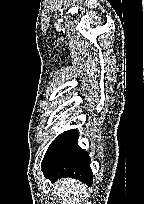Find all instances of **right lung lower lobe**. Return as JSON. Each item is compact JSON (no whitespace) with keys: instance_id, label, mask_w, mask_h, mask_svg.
<instances>
[{"instance_id":"98d812e1","label":"right lung lower lobe","mask_w":144,"mask_h":204,"mask_svg":"<svg viewBox=\"0 0 144 204\" xmlns=\"http://www.w3.org/2000/svg\"><path fill=\"white\" fill-rule=\"evenodd\" d=\"M78 132L71 129L60 134L49 146L42 161L46 178L52 182L61 177L80 179L92 184L90 157L78 144Z\"/></svg>"}]
</instances>
